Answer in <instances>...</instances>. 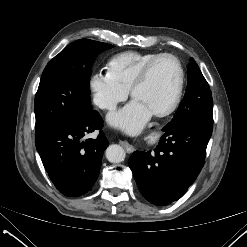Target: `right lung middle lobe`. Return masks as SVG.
<instances>
[{
  "mask_svg": "<svg viewBox=\"0 0 247 247\" xmlns=\"http://www.w3.org/2000/svg\"><path fill=\"white\" fill-rule=\"evenodd\" d=\"M112 47L98 41L77 40L47 64L35 96V135L93 112L89 86L92 65L100 52Z\"/></svg>",
  "mask_w": 247,
  "mask_h": 247,
  "instance_id": "1",
  "label": "right lung middle lobe"
}]
</instances>
